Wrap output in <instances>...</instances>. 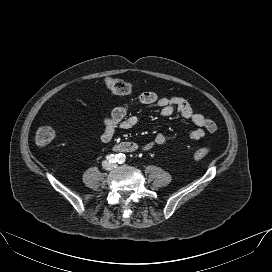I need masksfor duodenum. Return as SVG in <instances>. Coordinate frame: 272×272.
I'll list each match as a JSON object with an SVG mask.
<instances>
[{
	"label": "duodenum",
	"mask_w": 272,
	"mask_h": 272,
	"mask_svg": "<svg viewBox=\"0 0 272 272\" xmlns=\"http://www.w3.org/2000/svg\"><path fill=\"white\" fill-rule=\"evenodd\" d=\"M114 150L121 153H132L137 150V145L132 142H123L115 145Z\"/></svg>",
	"instance_id": "duodenum-1"
}]
</instances>
